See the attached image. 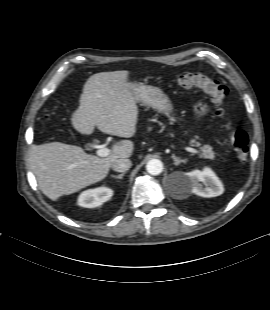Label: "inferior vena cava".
Instances as JSON below:
<instances>
[{
  "label": "inferior vena cava",
  "instance_id": "inferior-vena-cava-1",
  "mask_svg": "<svg viewBox=\"0 0 270 310\" xmlns=\"http://www.w3.org/2000/svg\"><path fill=\"white\" fill-rule=\"evenodd\" d=\"M131 161L127 158H122V159H118L116 160L113 164H112V169L114 171L117 172H125L127 170H129L131 168Z\"/></svg>",
  "mask_w": 270,
  "mask_h": 310
}]
</instances>
